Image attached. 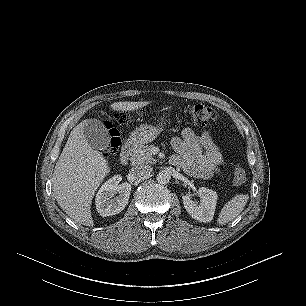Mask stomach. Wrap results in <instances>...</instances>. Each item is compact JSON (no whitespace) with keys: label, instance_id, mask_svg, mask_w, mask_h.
<instances>
[{"label":"stomach","instance_id":"1","mask_svg":"<svg viewBox=\"0 0 306 306\" xmlns=\"http://www.w3.org/2000/svg\"><path fill=\"white\" fill-rule=\"evenodd\" d=\"M163 124H165L164 117L160 119L157 126L144 124L131 133L129 140L136 145L151 142L160 134Z\"/></svg>","mask_w":306,"mask_h":306}]
</instances>
